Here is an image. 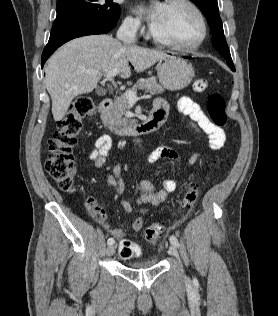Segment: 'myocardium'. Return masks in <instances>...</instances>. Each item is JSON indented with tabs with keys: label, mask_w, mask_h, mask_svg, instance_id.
<instances>
[{
	"label": "myocardium",
	"mask_w": 278,
	"mask_h": 316,
	"mask_svg": "<svg viewBox=\"0 0 278 316\" xmlns=\"http://www.w3.org/2000/svg\"><path fill=\"white\" fill-rule=\"evenodd\" d=\"M166 3L167 4H181V5L187 6L194 13V15L196 16L198 20L199 28H200L199 35L193 43L187 44V45H179V44L167 42L158 38L154 34L151 28L149 32L150 39L158 46L175 50V51H179V52H192V51L197 50L203 44V42L205 41L207 37V23H206V19L204 17L203 12L192 0H167Z\"/></svg>",
	"instance_id": "myocardium-1"
}]
</instances>
